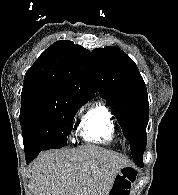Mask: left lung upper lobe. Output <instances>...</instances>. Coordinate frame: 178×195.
Here are the masks:
<instances>
[{
  "instance_id": "left-lung-upper-lobe-1",
  "label": "left lung upper lobe",
  "mask_w": 178,
  "mask_h": 195,
  "mask_svg": "<svg viewBox=\"0 0 178 195\" xmlns=\"http://www.w3.org/2000/svg\"><path fill=\"white\" fill-rule=\"evenodd\" d=\"M92 55L100 96L114 110L134 163L143 167L149 109L143 78L134 61L117 47L96 48Z\"/></svg>"
}]
</instances>
